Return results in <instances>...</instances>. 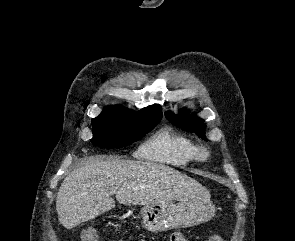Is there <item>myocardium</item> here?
I'll list each match as a JSON object with an SVG mask.
<instances>
[{
	"mask_svg": "<svg viewBox=\"0 0 295 241\" xmlns=\"http://www.w3.org/2000/svg\"><path fill=\"white\" fill-rule=\"evenodd\" d=\"M210 157V152L206 148H199L197 151V158L200 161H206Z\"/></svg>",
	"mask_w": 295,
	"mask_h": 241,
	"instance_id": "f54148a6",
	"label": "myocardium"
}]
</instances>
